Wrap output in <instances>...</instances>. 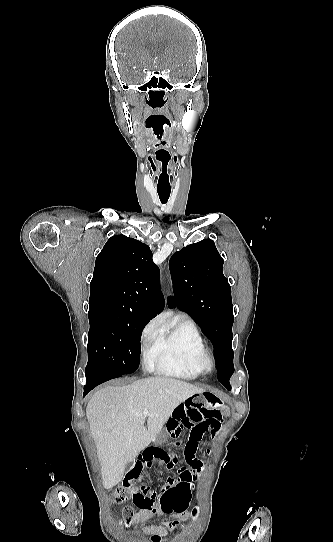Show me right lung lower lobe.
Masks as SVG:
<instances>
[{
  "label": "right lung lower lobe",
  "mask_w": 333,
  "mask_h": 542,
  "mask_svg": "<svg viewBox=\"0 0 333 542\" xmlns=\"http://www.w3.org/2000/svg\"><path fill=\"white\" fill-rule=\"evenodd\" d=\"M85 375H86L87 383L84 386L83 396H85L97 385L103 382H106L110 379L121 376V374L114 373L112 371H109L99 366H87L85 369Z\"/></svg>",
  "instance_id": "98d812e1"
}]
</instances>
